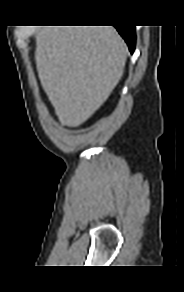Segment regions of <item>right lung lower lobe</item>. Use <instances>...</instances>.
Segmentation results:
<instances>
[{"instance_id": "98d812e1", "label": "right lung lower lobe", "mask_w": 184, "mask_h": 292, "mask_svg": "<svg viewBox=\"0 0 184 292\" xmlns=\"http://www.w3.org/2000/svg\"><path fill=\"white\" fill-rule=\"evenodd\" d=\"M119 34L124 38L128 44L129 50L131 53L134 52L136 44V33L134 26H115Z\"/></svg>"}]
</instances>
